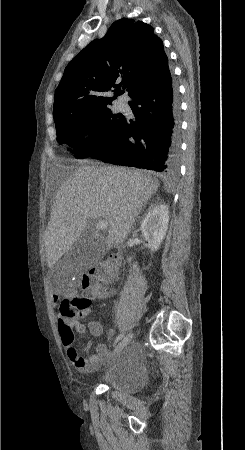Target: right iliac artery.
Here are the masks:
<instances>
[{
  "label": "right iliac artery",
  "mask_w": 245,
  "mask_h": 450,
  "mask_svg": "<svg viewBox=\"0 0 245 450\" xmlns=\"http://www.w3.org/2000/svg\"><path fill=\"white\" fill-rule=\"evenodd\" d=\"M124 334H120L114 341V343H117L119 340L123 338Z\"/></svg>",
  "instance_id": "obj_1"
}]
</instances>
